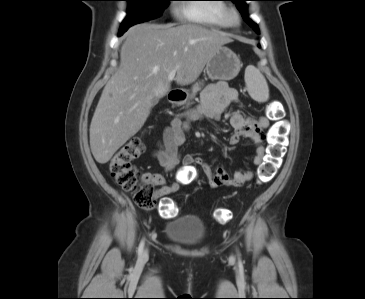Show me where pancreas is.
Masks as SVG:
<instances>
[{
    "mask_svg": "<svg viewBox=\"0 0 365 299\" xmlns=\"http://www.w3.org/2000/svg\"><path fill=\"white\" fill-rule=\"evenodd\" d=\"M203 85V83L201 82H198V83H195L193 86H192V94H191V98L195 97V95L197 94V92H199L201 90V86Z\"/></svg>",
    "mask_w": 365,
    "mask_h": 299,
    "instance_id": "1",
    "label": "pancreas"
}]
</instances>
